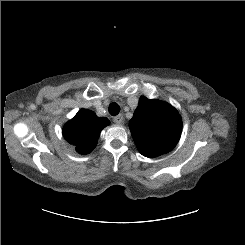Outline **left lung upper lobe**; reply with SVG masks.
<instances>
[{
    "instance_id": "1",
    "label": "left lung upper lobe",
    "mask_w": 245,
    "mask_h": 245,
    "mask_svg": "<svg viewBox=\"0 0 245 245\" xmlns=\"http://www.w3.org/2000/svg\"><path fill=\"white\" fill-rule=\"evenodd\" d=\"M129 128L139 152L153 158L176 146L182 132V119L170 104L142 96Z\"/></svg>"
}]
</instances>
